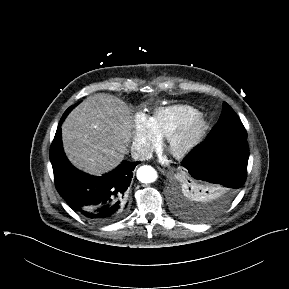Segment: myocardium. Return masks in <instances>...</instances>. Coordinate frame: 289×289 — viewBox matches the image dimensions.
I'll return each instance as SVG.
<instances>
[{
  "label": "myocardium",
  "mask_w": 289,
  "mask_h": 289,
  "mask_svg": "<svg viewBox=\"0 0 289 289\" xmlns=\"http://www.w3.org/2000/svg\"><path fill=\"white\" fill-rule=\"evenodd\" d=\"M208 124L203 116L190 120L168 139V151L176 158H184L203 140Z\"/></svg>",
  "instance_id": "f54148a6"
}]
</instances>
